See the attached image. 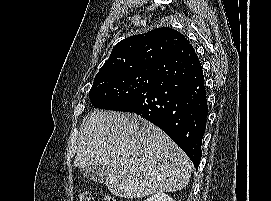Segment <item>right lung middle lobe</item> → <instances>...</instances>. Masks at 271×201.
Here are the masks:
<instances>
[{
    "label": "right lung middle lobe",
    "mask_w": 271,
    "mask_h": 201,
    "mask_svg": "<svg viewBox=\"0 0 271 201\" xmlns=\"http://www.w3.org/2000/svg\"><path fill=\"white\" fill-rule=\"evenodd\" d=\"M153 80L152 71H127L95 78L89 92L92 104L100 109L118 111L127 100L145 92Z\"/></svg>",
    "instance_id": "1"
}]
</instances>
